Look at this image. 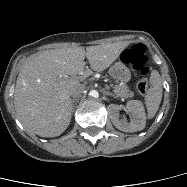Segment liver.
Segmentation results:
<instances>
[{"mask_svg": "<svg viewBox=\"0 0 187 187\" xmlns=\"http://www.w3.org/2000/svg\"><path fill=\"white\" fill-rule=\"evenodd\" d=\"M129 42L47 50L29 57L16 81L14 105L22 124L41 137H56L70 124L71 90L92 75L107 69ZM85 57L90 69L85 70ZM60 75H81L65 79ZM80 79V81H79Z\"/></svg>", "mask_w": 187, "mask_h": 187, "instance_id": "6515ba94", "label": "liver"}]
</instances>
